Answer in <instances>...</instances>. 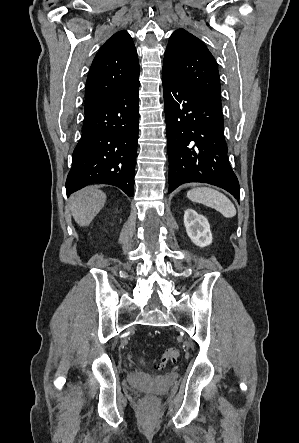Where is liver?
<instances>
[{
	"label": "liver",
	"instance_id": "1",
	"mask_svg": "<svg viewBox=\"0 0 299 443\" xmlns=\"http://www.w3.org/2000/svg\"><path fill=\"white\" fill-rule=\"evenodd\" d=\"M106 194L95 186H89L71 195L70 210L75 222L88 226L104 207Z\"/></svg>",
	"mask_w": 299,
	"mask_h": 443
}]
</instances>
